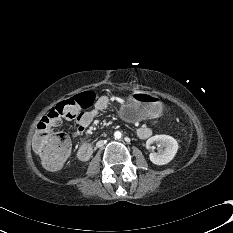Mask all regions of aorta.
Segmentation results:
<instances>
[{"instance_id":"obj_1","label":"aorta","mask_w":233,"mask_h":233,"mask_svg":"<svg viewBox=\"0 0 233 233\" xmlns=\"http://www.w3.org/2000/svg\"><path fill=\"white\" fill-rule=\"evenodd\" d=\"M121 136H122V134H121V132H120V131H116V132L114 133V137H115V139H120V138H121Z\"/></svg>"}]
</instances>
